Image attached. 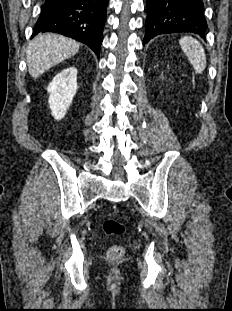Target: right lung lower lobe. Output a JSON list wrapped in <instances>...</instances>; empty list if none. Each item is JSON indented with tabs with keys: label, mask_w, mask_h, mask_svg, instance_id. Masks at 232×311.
I'll return each instance as SVG.
<instances>
[{
	"label": "right lung lower lobe",
	"mask_w": 232,
	"mask_h": 311,
	"mask_svg": "<svg viewBox=\"0 0 232 311\" xmlns=\"http://www.w3.org/2000/svg\"><path fill=\"white\" fill-rule=\"evenodd\" d=\"M109 0H45L32 37L56 32L88 45L99 57Z\"/></svg>",
	"instance_id": "right-lung-lower-lobe-1"
}]
</instances>
